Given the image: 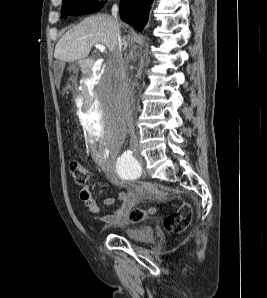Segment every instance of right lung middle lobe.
<instances>
[{"instance_id": "right-lung-middle-lobe-1", "label": "right lung middle lobe", "mask_w": 267, "mask_h": 298, "mask_svg": "<svg viewBox=\"0 0 267 298\" xmlns=\"http://www.w3.org/2000/svg\"><path fill=\"white\" fill-rule=\"evenodd\" d=\"M102 6L103 2L98 0H63L61 14L63 17L88 14L99 11Z\"/></svg>"}]
</instances>
